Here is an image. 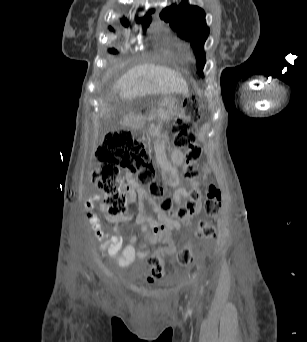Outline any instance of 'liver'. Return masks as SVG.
Listing matches in <instances>:
<instances>
[{
    "mask_svg": "<svg viewBox=\"0 0 307 342\" xmlns=\"http://www.w3.org/2000/svg\"><path fill=\"white\" fill-rule=\"evenodd\" d=\"M113 90H120L121 100H132V98H143L151 94H188V84L182 78L180 72L166 68V66H155V64H142L134 66L123 74Z\"/></svg>",
    "mask_w": 307,
    "mask_h": 342,
    "instance_id": "1",
    "label": "liver"
}]
</instances>
